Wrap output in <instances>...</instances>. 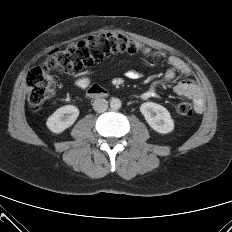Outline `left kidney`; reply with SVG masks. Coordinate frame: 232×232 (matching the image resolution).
<instances>
[{"label":"left kidney","mask_w":232,"mask_h":232,"mask_svg":"<svg viewBox=\"0 0 232 232\" xmlns=\"http://www.w3.org/2000/svg\"><path fill=\"white\" fill-rule=\"evenodd\" d=\"M140 111L148 125L156 132L167 134L174 130V121L169 111L162 105L145 102L140 106Z\"/></svg>","instance_id":"left-kidney-1"}]
</instances>
